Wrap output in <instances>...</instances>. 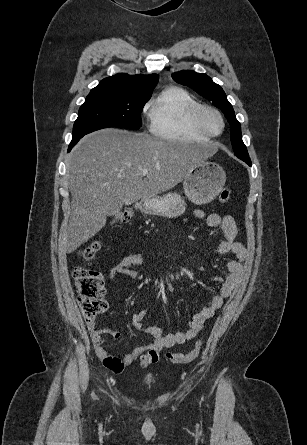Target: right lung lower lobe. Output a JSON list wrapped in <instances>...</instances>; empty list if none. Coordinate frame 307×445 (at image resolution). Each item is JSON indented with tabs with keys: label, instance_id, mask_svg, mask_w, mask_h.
<instances>
[{
	"label": "right lung lower lobe",
	"instance_id": "obj_1",
	"mask_svg": "<svg viewBox=\"0 0 307 445\" xmlns=\"http://www.w3.org/2000/svg\"><path fill=\"white\" fill-rule=\"evenodd\" d=\"M82 137H83V136L75 137V138L72 139V141H71V143H70V145H69V148H68V152L72 149V147H73L74 145L77 144V142H78Z\"/></svg>",
	"mask_w": 307,
	"mask_h": 445
}]
</instances>
